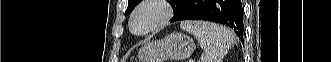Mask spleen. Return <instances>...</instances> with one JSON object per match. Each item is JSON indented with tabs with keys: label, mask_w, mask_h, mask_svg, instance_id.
I'll list each match as a JSON object with an SVG mask.
<instances>
[{
	"label": "spleen",
	"mask_w": 331,
	"mask_h": 62,
	"mask_svg": "<svg viewBox=\"0 0 331 62\" xmlns=\"http://www.w3.org/2000/svg\"><path fill=\"white\" fill-rule=\"evenodd\" d=\"M180 27L192 34L204 49L201 62H221L234 44L233 33L219 24L184 21L181 22Z\"/></svg>",
	"instance_id": "spleen-1"
}]
</instances>
